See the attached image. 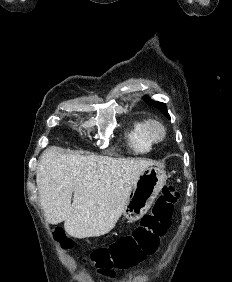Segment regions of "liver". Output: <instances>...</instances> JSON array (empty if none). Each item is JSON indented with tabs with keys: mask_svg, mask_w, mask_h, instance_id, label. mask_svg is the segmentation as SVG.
I'll return each mask as SVG.
<instances>
[{
	"mask_svg": "<svg viewBox=\"0 0 232 282\" xmlns=\"http://www.w3.org/2000/svg\"><path fill=\"white\" fill-rule=\"evenodd\" d=\"M152 165L145 159L64 154L49 147L40 156L36 176L46 220L64 221L66 232L75 238L109 233L138 177Z\"/></svg>",
	"mask_w": 232,
	"mask_h": 282,
	"instance_id": "liver-1",
	"label": "liver"
}]
</instances>
